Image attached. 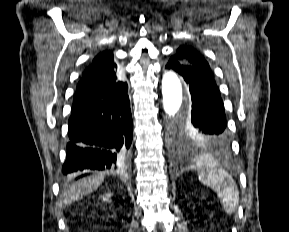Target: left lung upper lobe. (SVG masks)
Instances as JSON below:
<instances>
[{
	"mask_svg": "<svg viewBox=\"0 0 289 232\" xmlns=\"http://www.w3.org/2000/svg\"><path fill=\"white\" fill-rule=\"evenodd\" d=\"M181 61L193 66L200 67L211 72L209 64L194 48L190 46H180L174 55ZM172 143L176 150L190 152L213 151L211 142L201 136L189 123L177 120L172 127Z\"/></svg>",
	"mask_w": 289,
	"mask_h": 232,
	"instance_id": "left-lung-upper-lobe-1",
	"label": "left lung upper lobe"
}]
</instances>
